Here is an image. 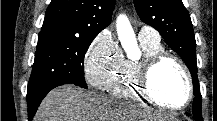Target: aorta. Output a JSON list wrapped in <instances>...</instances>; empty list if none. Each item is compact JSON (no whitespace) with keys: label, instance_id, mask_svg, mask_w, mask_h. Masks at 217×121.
I'll list each match as a JSON object with an SVG mask.
<instances>
[{"label":"aorta","instance_id":"aorta-1","mask_svg":"<svg viewBox=\"0 0 217 121\" xmlns=\"http://www.w3.org/2000/svg\"><path fill=\"white\" fill-rule=\"evenodd\" d=\"M116 29L118 38L128 58H137L140 50L137 45L135 33L126 15L121 14L117 17Z\"/></svg>","mask_w":217,"mask_h":121}]
</instances>
